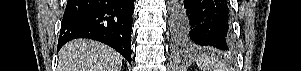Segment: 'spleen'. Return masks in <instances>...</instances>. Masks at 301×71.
Here are the masks:
<instances>
[{"mask_svg": "<svg viewBox=\"0 0 301 71\" xmlns=\"http://www.w3.org/2000/svg\"><path fill=\"white\" fill-rule=\"evenodd\" d=\"M202 71H225L226 67L223 63L218 62L215 58L204 57L197 61Z\"/></svg>", "mask_w": 301, "mask_h": 71, "instance_id": "spleen-1", "label": "spleen"}]
</instances>
